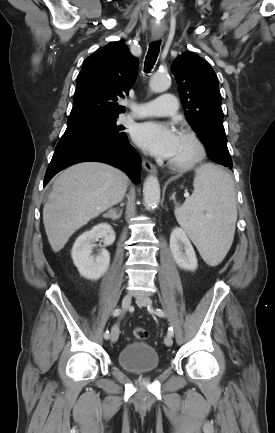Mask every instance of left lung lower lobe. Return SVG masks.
I'll list each match as a JSON object with an SVG mask.
<instances>
[{"label":"left lung lower lobe","mask_w":275,"mask_h":433,"mask_svg":"<svg viewBox=\"0 0 275 433\" xmlns=\"http://www.w3.org/2000/svg\"><path fill=\"white\" fill-rule=\"evenodd\" d=\"M232 164H227V165H225V167H229V168H232Z\"/></svg>","instance_id":"0a47b994"}]
</instances>
